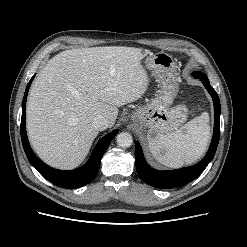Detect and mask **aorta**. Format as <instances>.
Here are the masks:
<instances>
[{
	"label": "aorta",
	"instance_id": "762f6f07",
	"mask_svg": "<svg viewBox=\"0 0 247 247\" xmlns=\"http://www.w3.org/2000/svg\"><path fill=\"white\" fill-rule=\"evenodd\" d=\"M117 145L121 148H128L133 143L132 135L128 132H121L117 135Z\"/></svg>",
	"mask_w": 247,
	"mask_h": 247
}]
</instances>
